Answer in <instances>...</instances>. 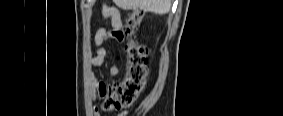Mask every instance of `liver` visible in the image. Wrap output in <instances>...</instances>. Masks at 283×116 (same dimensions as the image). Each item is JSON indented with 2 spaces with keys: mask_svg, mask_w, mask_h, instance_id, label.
<instances>
[{
  "mask_svg": "<svg viewBox=\"0 0 283 116\" xmlns=\"http://www.w3.org/2000/svg\"><path fill=\"white\" fill-rule=\"evenodd\" d=\"M114 3L123 10L139 8L163 15L170 11L172 0H114Z\"/></svg>",
  "mask_w": 283,
  "mask_h": 116,
  "instance_id": "6515ba94",
  "label": "liver"
}]
</instances>
